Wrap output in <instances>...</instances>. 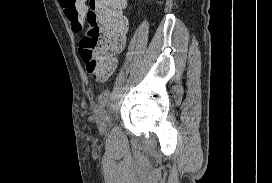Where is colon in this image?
Wrapping results in <instances>:
<instances>
[{
  "instance_id": "1",
  "label": "colon",
  "mask_w": 272,
  "mask_h": 183,
  "mask_svg": "<svg viewBox=\"0 0 272 183\" xmlns=\"http://www.w3.org/2000/svg\"><path fill=\"white\" fill-rule=\"evenodd\" d=\"M74 31L85 30L79 54L89 73L98 79L114 68L123 49L128 20L123 15L126 0H59Z\"/></svg>"
}]
</instances>
